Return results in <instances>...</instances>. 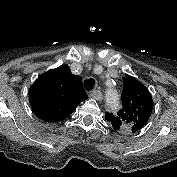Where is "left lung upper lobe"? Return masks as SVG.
<instances>
[{
	"mask_svg": "<svg viewBox=\"0 0 177 177\" xmlns=\"http://www.w3.org/2000/svg\"><path fill=\"white\" fill-rule=\"evenodd\" d=\"M122 109L117 115L106 113L116 131L135 133L142 129L153 110V100L148 89L135 78L125 74L123 78Z\"/></svg>",
	"mask_w": 177,
	"mask_h": 177,
	"instance_id": "left-lung-upper-lobe-1",
	"label": "left lung upper lobe"
}]
</instances>
